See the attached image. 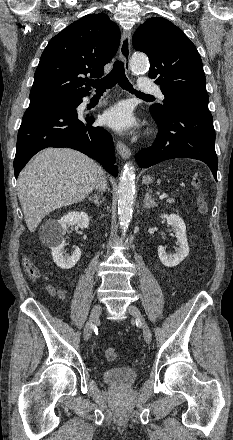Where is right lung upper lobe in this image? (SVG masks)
Returning <instances> with one entry per match:
<instances>
[{
  "label": "right lung upper lobe",
  "instance_id": "1",
  "mask_svg": "<svg viewBox=\"0 0 233 440\" xmlns=\"http://www.w3.org/2000/svg\"><path fill=\"white\" fill-rule=\"evenodd\" d=\"M120 30L104 13L89 14L54 36L41 55L30 104L80 99L90 87L82 75L101 77L118 50Z\"/></svg>",
  "mask_w": 233,
  "mask_h": 440
}]
</instances>
